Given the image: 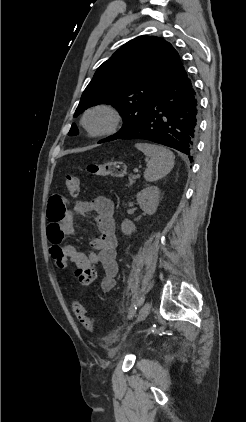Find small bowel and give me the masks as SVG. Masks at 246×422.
<instances>
[{
	"label": "small bowel",
	"mask_w": 246,
	"mask_h": 422,
	"mask_svg": "<svg viewBox=\"0 0 246 422\" xmlns=\"http://www.w3.org/2000/svg\"><path fill=\"white\" fill-rule=\"evenodd\" d=\"M95 212V224L99 234L90 240L93 251L85 253L71 244L61 245L65 236L75 233L73 221L76 215ZM48 238L52 248L62 250L67 260L74 263L80 270L90 264H101L104 277L101 288L104 292L111 291L116 285L118 263L116 260L117 240L115 235L114 204L105 196H98L91 200H78L73 209H68L65 199L60 195H53L48 203ZM51 248V249H52Z\"/></svg>",
	"instance_id": "1"
}]
</instances>
